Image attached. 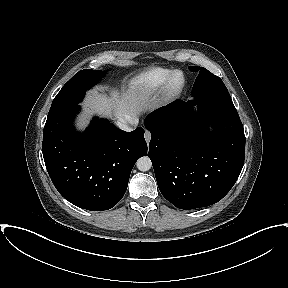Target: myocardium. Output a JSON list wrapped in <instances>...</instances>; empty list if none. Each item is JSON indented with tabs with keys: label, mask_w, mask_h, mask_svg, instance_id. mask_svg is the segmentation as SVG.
Segmentation results:
<instances>
[{
	"label": "myocardium",
	"mask_w": 288,
	"mask_h": 288,
	"mask_svg": "<svg viewBox=\"0 0 288 288\" xmlns=\"http://www.w3.org/2000/svg\"><path fill=\"white\" fill-rule=\"evenodd\" d=\"M185 85V76L183 72L179 70L172 71L168 76L164 88L168 97L177 96Z\"/></svg>",
	"instance_id": "myocardium-1"
}]
</instances>
